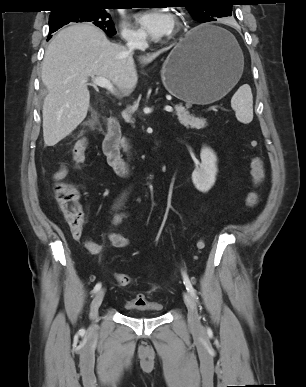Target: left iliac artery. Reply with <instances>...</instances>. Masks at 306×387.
Masks as SVG:
<instances>
[{"label":"left iliac artery","instance_id":"left-iliac-artery-1","mask_svg":"<svg viewBox=\"0 0 306 387\" xmlns=\"http://www.w3.org/2000/svg\"><path fill=\"white\" fill-rule=\"evenodd\" d=\"M183 282L186 287V290L191 294V296L198 302V296L196 295V291L193 288L188 276L183 272Z\"/></svg>","mask_w":306,"mask_h":387}]
</instances>
